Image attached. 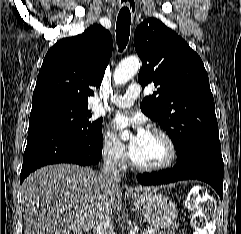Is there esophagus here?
Listing matches in <instances>:
<instances>
[{
  "instance_id": "1",
  "label": "esophagus",
  "mask_w": 241,
  "mask_h": 234,
  "mask_svg": "<svg viewBox=\"0 0 241 234\" xmlns=\"http://www.w3.org/2000/svg\"><path fill=\"white\" fill-rule=\"evenodd\" d=\"M121 3L123 5L128 6L132 15L135 14V12H136V1L135 0H121Z\"/></svg>"
}]
</instances>
